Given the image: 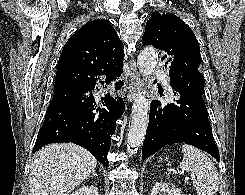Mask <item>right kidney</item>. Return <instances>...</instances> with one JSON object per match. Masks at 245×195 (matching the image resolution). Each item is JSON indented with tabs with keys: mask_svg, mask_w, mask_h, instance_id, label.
I'll list each match as a JSON object with an SVG mask.
<instances>
[{
	"mask_svg": "<svg viewBox=\"0 0 245 195\" xmlns=\"http://www.w3.org/2000/svg\"><path fill=\"white\" fill-rule=\"evenodd\" d=\"M71 195H98V189L95 186H83Z\"/></svg>",
	"mask_w": 245,
	"mask_h": 195,
	"instance_id": "obj_1",
	"label": "right kidney"
}]
</instances>
